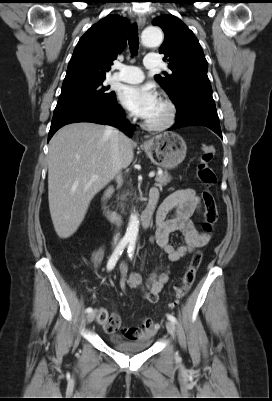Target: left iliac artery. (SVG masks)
<instances>
[{
	"label": "left iliac artery",
	"instance_id": "44dca946",
	"mask_svg": "<svg viewBox=\"0 0 272 401\" xmlns=\"http://www.w3.org/2000/svg\"><path fill=\"white\" fill-rule=\"evenodd\" d=\"M135 242H136L135 239H131V240L129 241V246H128L127 252H128L129 258H131V259L133 258V255H134ZM167 318H168V320L172 321L173 323H176V322H177L176 318H175L173 315H171V314H167Z\"/></svg>",
	"mask_w": 272,
	"mask_h": 401
}]
</instances>
